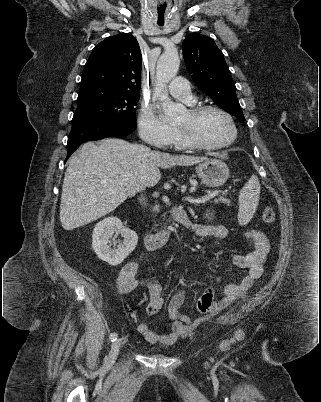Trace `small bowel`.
I'll list each match as a JSON object with an SVG mask.
<instances>
[{"label":"small bowel","mask_w":321,"mask_h":402,"mask_svg":"<svg viewBox=\"0 0 321 402\" xmlns=\"http://www.w3.org/2000/svg\"><path fill=\"white\" fill-rule=\"evenodd\" d=\"M186 228L191 230L199 237H214L224 239L228 231L220 224H201L193 223L189 220L183 222ZM245 238L252 243V250L248 254H234L231 257L232 264L246 271L239 283H229L220 286L218 280L210 284L197 301L199 304L208 300L211 301V307L204 315L196 320L180 312L185 293L179 289L171 298L168 304V314L172 320V332L168 334L156 333L148 324L139 323L138 332L150 343L162 346H170L179 339L189 335L192 330L201 322L209 320L220 314L235 301L242 298L252 287L254 282L259 279L263 273V264L270 251V241L264 231L251 229L245 232ZM139 265L136 262H129L124 265L117 278L118 290L122 294L130 293L142 285L138 279ZM149 292V301L146 304V313L149 316L156 315L163 306L162 287L156 282L147 283ZM221 288L222 296L216 299V292Z\"/></svg>","instance_id":"1"}]
</instances>
